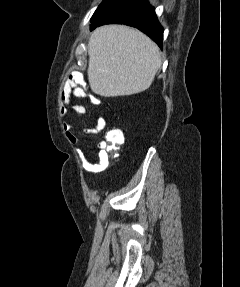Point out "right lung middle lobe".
I'll return each instance as SVG.
<instances>
[{
	"label": "right lung middle lobe",
	"mask_w": 240,
	"mask_h": 287,
	"mask_svg": "<svg viewBox=\"0 0 240 287\" xmlns=\"http://www.w3.org/2000/svg\"><path fill=\"white\" fill-rule=\"evenodd\" d=\"M111 0H104L99 7L97 8V10L95 11V13L93 14L92 18H91V22H94L95 19L101 14V12L104 10V8L108 5V3Z\"/></svg>",
	"instance_id": "obj_1"
}]
</instances>
